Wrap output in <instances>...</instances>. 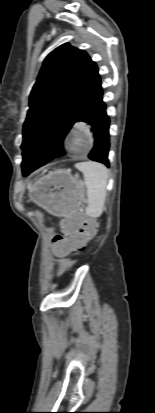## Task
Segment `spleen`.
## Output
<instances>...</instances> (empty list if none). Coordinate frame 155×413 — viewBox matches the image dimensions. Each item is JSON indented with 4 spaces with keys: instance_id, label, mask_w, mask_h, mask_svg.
Wrapping results in <instances>:
<instances>
[{
    "instance_id": "obj_1",
    "label": "spleen",
    "mask_w": 155,
    "mask_h": 413,
    "mask_svg": "<svg viewBox=\"0 0 155 413\" xmlns=\"http://www.w3.org/2000/svg\"><path fill=\"white\" fill-rule=\"evenodd\" d=\"M75 167L83 173L87 188L86 214L98 218L104 210L109 172L104 165L93 161L80 162Z\"/></svg>"
}]
</instances>
